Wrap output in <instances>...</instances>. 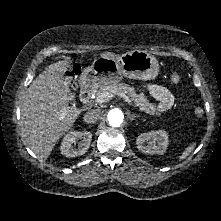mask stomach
Returning <instances> with one entry per match:
<instances>
[{
	"label": "stomach",
	"mask_w": 221,
	"mask_h": 221,
	"mask_svg": "<svg viewBox=\"0 0 221 221\" xmlns=\"http://www.w3.org/2000/svg\"><path fill=\"white\" fill-rule=\"evenodd\" d=\"M157 59L146 51L134 50L119 57L100 56L83 70L79 84L82 88L104 87L118 83L123 76L130 79L153 80L158 76Z\"/></svg>",
	"instance_id": "0dacf381"
}]
</instances>
